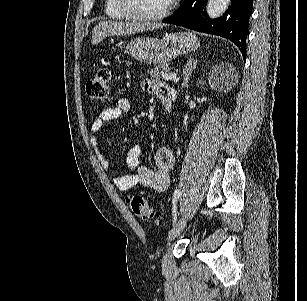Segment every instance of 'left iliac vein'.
<instances>
[{
    "label": "left iliac vein",
    "instance_id": "left-iliac-vein-1",
    "mask_svg": "<svg viewBox=\"0 0 307 301\" xmlns=\"http://www.w3.org/2000/svg\"><path fill=\"white\" fill-rule=\"evenodd\" d=\"M189 212L184 213L181 215L177 223L173 226L169 233V242L174 241L179 235L182 233L183 229L185 228L188 220H189Z\"/></svg>",
    "mask_w": 307,
    "mask_h": 301
}]
</instances>
